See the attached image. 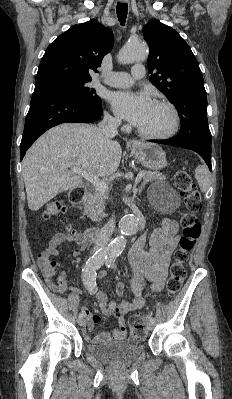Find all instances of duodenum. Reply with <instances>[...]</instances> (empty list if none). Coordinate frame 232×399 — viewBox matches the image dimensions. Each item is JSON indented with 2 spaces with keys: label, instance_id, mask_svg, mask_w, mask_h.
Returning <instances> with one entry per match:
<instances>
[{
  "label": "duodenum",
  "instance_id": "obj_1",
  "mask_svg": "<svg viewBox=\"0 0 232 399\" xmlns=\"http://www.w3.org/2000/svg\"><path fill=\"white\" fill-rule=\"evenodd\" d=\"M86 196V189L79 187L74 189L69 196L70 202L72 204H80ZM100 236V230L98 228L92 227L85 231L84 239L87 242L95 243L98 241Z\"/></svg>",
  "mask_w": 232,
  "mask_h": 399
}]
</instances>
